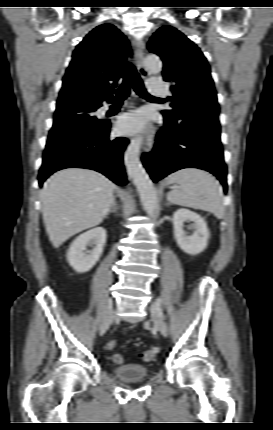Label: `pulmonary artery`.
Segmentation results:
<instances>
[{
    "mask_svg": "<svg viewBox=\"0 0 273 430\" xmlns=\"http://www.w3.org/2000/svg\"><path fill=\"white\" fill-rule=\"evenodd\" d=\"M149 90L151 94L156 96H164L166 95V89L163 82L159 79H155L150 81Z\"/></svg>",
    "mask_w": 273,
    "mask_h": 430,
    "instance_id": "1",
    "label": "pulmonary artery"
}]
</instances>
